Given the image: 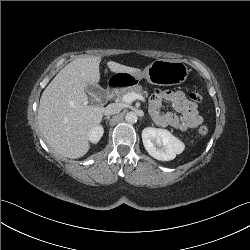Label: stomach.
<instances>
[{
    "mask_svg": "<svg viewBox=\"0 0 250 250\" xmlns=\"http://www.w3.org/2000/svg\"><path fill=\"white\" fill-rule=\"evenodd\" d=\"M189 70L180 61L158 59L143 71L135 73L117 72L114 76L121 78V86H134L143 78L149 83L161 86L179 85L186 81Z\"/></svg>",
    "mask_w": 250,
    "mask_h": 250,
    "instance_id": "obj_1",
    "label": "stomach"
}]
</instances>
